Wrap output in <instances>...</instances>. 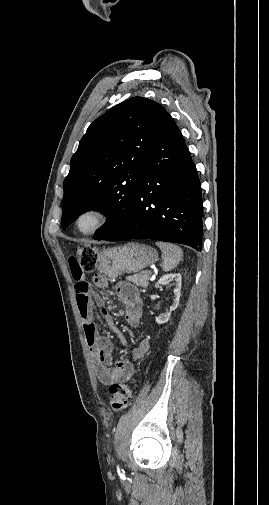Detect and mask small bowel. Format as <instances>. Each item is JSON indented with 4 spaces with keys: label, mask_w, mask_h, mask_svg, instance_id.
Segmentation results:
<instances>
[{
    "label": "small bowel",
    "mask_w": 269,
    "mask_h": 505,
    "mask_svg": "<svg viewBox=\"0 0 269 505\" xmlns=\"http://www.w3.org/2000/svg\"><path fill=\"white\" fill-rule=\"evenodd\" d=\"M67 267L72 271L75 280V294L78 310L83 321V330L87 345L94 357L95 371L98 380L104 385L121 383L130 379L134 368L131 360H139L145 356L150 349V340L144 338L139 345L131 352L130 357L118 359L114 364L111 363L112 342L99 335L95 324V313L93 306L102 307L101 315L106 324L114 330L124 345L127 342L122 334L115 328L113 317L107 308H104V300L98 295H90L89 284L86 279L90 274L82 272L79 259H69ZM94 283L99 286H105L106 282L101 276L94 277ZM116 293L125 304V319L131 327H139L142 317V303L137 290L130 284L121 283L116 287Z\"/></svg>",
    "instance_id": "small-bowel-1"
}]
</instances>
